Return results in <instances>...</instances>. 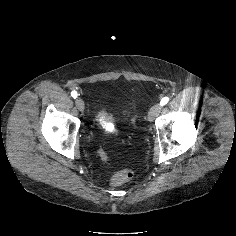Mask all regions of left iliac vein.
Instances as JSON below:
<instances>
[{
	"instance_id": "obj_1",
	"label": "left iliac vein",
	"mask_w": 236,
	"mask_h": 236,
	"mask_svg": "<svg viewBox=\"0 0 236 236\" xmlns=\"http://www.w3.org/2000/svg\"><path fill=\"white\" fill-rule=\"evenodd\" d=\"M161 109V105H153L148 112V120L152 122L160 114Z\"/></svg>"
}]
</instances>
